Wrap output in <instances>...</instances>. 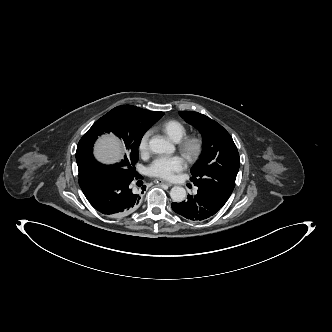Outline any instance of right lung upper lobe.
<instances>
[{"label": "right lung upper lobe", "instance_id": "obj_1", "mask_svg": "<svg viewBox=\"0 0 332 332\" xmlns=\"http://www.w3.org/2000/svg\"><path fill=\"white\" fill-rule=\"evenodd\" d=\"M127 106V108H129V110L138 113L140 115H157L161 112H156V111H148V110H144L135 106H131V105H124Z\"/></svg>", "mask_w": 332, "mask_h": 332}]
</instances>
